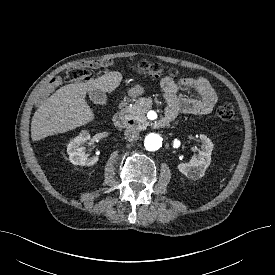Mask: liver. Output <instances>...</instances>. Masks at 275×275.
<instances>
[{
    "mask_svg": "<svg viewBox=\"0 0 275 275\" xmlns=\"http://www.w3.org/2000/svg\"><path fill=\"white\" fill-rule=\"evenodd\" d=\"M122 78L120 72L111 71L85 83H72L58 89L34 113L32 140L65 133L93 121L95 115L86 101V94L92 90L113 92Z\"/></svg>",
    "mask_w": 275,
    "mask_h": 275,
    "instance_id": "liver-1",
    "label": "liver"
}]
</instances>
